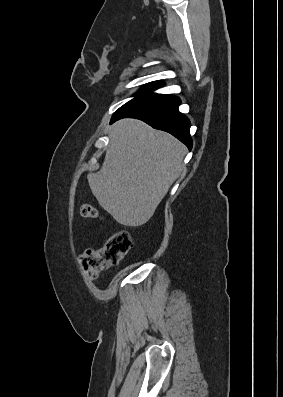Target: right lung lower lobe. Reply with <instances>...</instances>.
I'll use <instances>...</instances> for the list:
<instances>
[{"mask_svg":"<svg viewBox=\"0 0 283 397\" xmlns=\"http://www.w3.org/2000/svg\"><path fill=\"white\" fill-rule=\"evenodd\" d=\"M180 103V99L176 96L154 94L114 115L111 123L121 118L140 119L153 128L172 134L191 150L193 144L189 133L191 124L189 119L178 111Z\"/></svg>","mask_w":283,"mask_h":397,"instance_id":"1","label":"right lung lower lobe"}]
</instances>
